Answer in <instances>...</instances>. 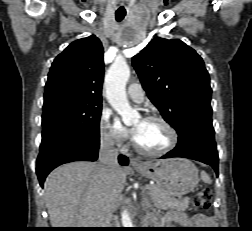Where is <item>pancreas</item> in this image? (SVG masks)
Instances as JSON below:
<instances>
[{
  "label": "pancreas",
  "mask_w": 252,
  "mask_h": 231,
  "mask_svg": "<svg viewBox=\"0 0 252 231\" xmlns=\"http://www.w3.org/2000/svg\"><path fill=\"white\" fill-rule=\"evenodd\" d=\"M149 196L151 202L154 203V206L158 208H173L185 211L189 206V199L184 198L182 200H177L175 198H166L162 196L159 188L156 185L150 186Z\"/></svg>",
  "instance_id": "1"
}]
</instances>
